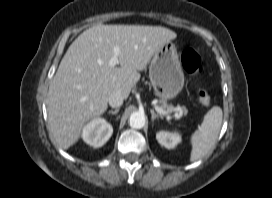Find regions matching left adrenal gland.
Returning a JSON list of instances; mask_svg holds the SVG:
<instances>
[{
    "label": "left adrenal gland",
    "instance_id": "1",
    "mask_svg": "<svg viewBox=\"0 0 272 198\" xmlns=\"http://www.w3.org/2000/svg\"><path fill=\"white\" fill-rule=\"evenodd\" d=\"M150 112H151V115H152V118H151V119H152V122H154L156 119H159V118L162 119V116L156 114L155 111H154L153 109H151Z\"/></svg>",
    "mask_w": 272,
    "mask_h": 198
}]
</instances>
